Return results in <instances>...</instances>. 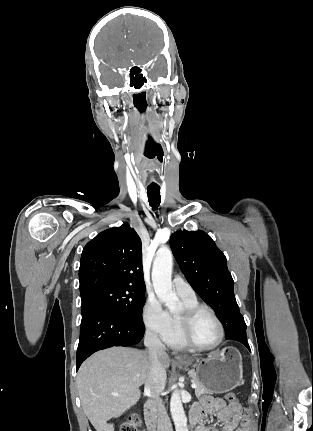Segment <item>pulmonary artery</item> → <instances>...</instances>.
I'll use <instances>...</instances> for the list:
<instances>
[{
  "label": "pulmonary artery",
  "instance_id": "obj_1",
  "mask_svg": "<svg viewBox=\"0 0 313 431\" xmlns=\"http://www.w3.org/2000/svg\"><path fill=\"white\" fill-rule=\"evenodd\" d=\"M173 288L179 296L194 297L195 292L191 285L186 282L182 277L175 276L172 282Z\"/></svg>",
  "mask_w": 313,
  "mask_h": 431
}]
</instances>
